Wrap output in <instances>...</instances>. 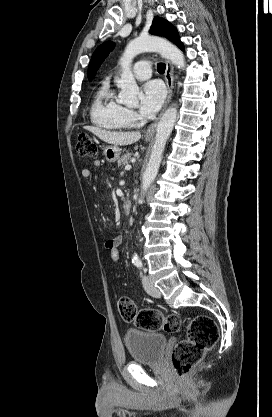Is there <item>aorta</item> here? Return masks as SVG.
Segmentation results:
<instances>
[{"instance_id": "aorta-1", "label": "aorta", "mask_w": 272, "mask_h": 417, "mask_svg": "<svg viewBox=\"0 0 272 417\" xmlns=\"http://www.w3.org/2000/svg\"><path fill=\"white\" fill-rule=\"evenodd\" d=\"M146 51L159 52L162 57L169 59L179 69L185 68V59L181 50L165 39L156 36H140L130 41L120 58L122 72L121 77L117 82V86L120 88V103L128 106H136L138 104L137 97L139 94V87L131 71V63L135 56ZM176 117L177 106L172 105L165 111L158 122L154 145L149 162L142 177V193L139 202H142L143 196L158 173L164 148L173 130ZM133 260H137V255L133 256Z\"/></svg>"}]
</instances>
